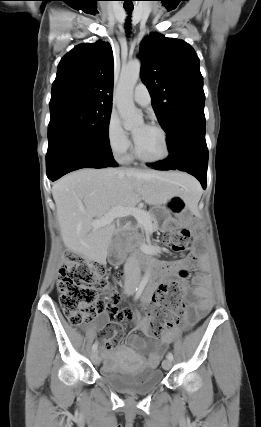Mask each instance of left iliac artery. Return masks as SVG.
<instances>
[{
    "instance_id": "left-iliac-artery-1",
    "label": "left iliac artery",
    "mask_w": 261,
    "mask_h": 427,
    "mask_svg": "<svg viewBox=\"0 0 261 427\" xmlns=\"http://www.w3.org/2000/svg\"><path fill=\"white\" fill-rule=\"evenodd\" d=\"M167 358L172 361L173 360V354L172 353H168L167 354Z\"/></svg>"
}]
</instances>
